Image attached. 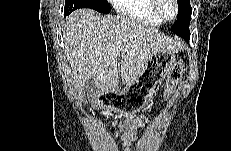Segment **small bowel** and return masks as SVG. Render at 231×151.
<instances>
[{"mask_svg": "<svg viewBox=\"0 0 231 151\" xmlns=\"http://www.w3.org/2000/svg\"><path fill=\"white\" fill-rule=\"evenodd\" d=\"M112 126L116 129L115 136L120 139L124 151H131L137 129L143 126V122L139 119L115 121Z\"/></svg>", "mask_w": 231, "mask_h": 151, "instance_id": "small-bowel-1", "label": "small bowel"}]
</instances>
